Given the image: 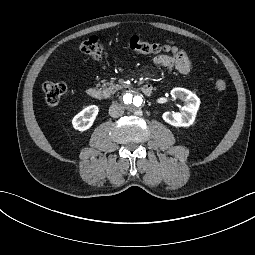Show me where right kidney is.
I'll return each instance as SVG.
<instances>
[{
    "label": "right kidney",
    "instance_id": "obj_1",
    "mask_svg": "<svg viewBox=\"0 0 255 255\" xmlns=\"http://www.w3.org/2000/svg\"><path fill=\"white\" fill-rule=\"evenodd\" d=\"M99 108L96 105H91L84 108L72 119V126L75 130L84 132L90 129L96 120Z\"/></svg>",
    "mask_w": 255,
    "mask_h": 255
}]
</instances>
